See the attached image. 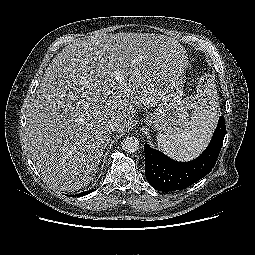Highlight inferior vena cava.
Returning a JSON list of instances; mask_svg holds the SVG:
<instances>
[{
	"mask_svg": "<svg viewBox=\"0 0 255 255\" xmlns=\"http://www.w3.org/2000/svg\"><path fill=\"white\" fill-rule=\"evenodd\" d=\"M118 126H119V122L117 119H112L108 123V128L112 131L116 130Z\"/></svg>",
	"mask_w": 255,
	"mask_h": 255,
	"instance_id": "obj_1",
	"label": "inferior vena cava"
}]
</instances>
